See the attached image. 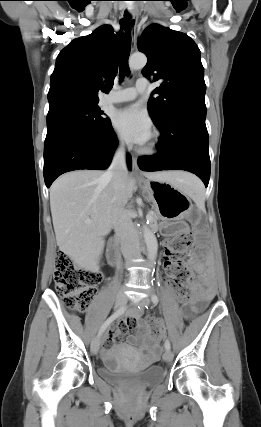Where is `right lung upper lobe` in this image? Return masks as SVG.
<instances>
[{"label": "right lung upper lobe", "mask_w": 261, "mask_h": 427, "mask_svg": "<svg viewBox=\"0 0 261 427\" xmlns=\"http://www.w3.org/2000/svg\"><path fill=\"white\" fill-rule=\"evenodd\" d=\"M122 32L110 25L71 41L57 56L48 92L49 109L98 104V91L112 88L118 70Z\"/></svg>", "instance_id": "cb5924a9"}]
</instances>
